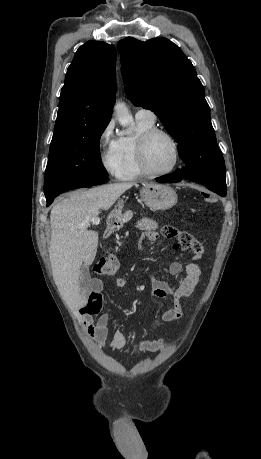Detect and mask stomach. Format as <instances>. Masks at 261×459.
Returning <instances> with one entry per match:
<instances>
[{
  "label": "stomach",
  "instance_id": "1",
  "mask_svg": "<svg viewBox=\"0 0 261 459\" xmlns=\"http://www.w3.org/2000/svg\"><path fill=\"white\" fill-rule=\"evenodd\" d=\"M140 195L152 211H164L177 203V194L169 185L146 183L140 190Z\"/></svg>",
  "mask_w": 261,
  "mask_h": 459
}]
</instances>
